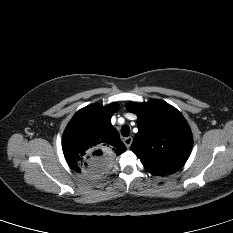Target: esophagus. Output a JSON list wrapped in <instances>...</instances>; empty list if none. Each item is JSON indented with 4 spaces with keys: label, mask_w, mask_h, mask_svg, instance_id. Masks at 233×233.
<instances>
[{
    "label": "esophagus",
    "mask_w": 233,
    "mask_h": 233,
    "mask_svg": "<svg viewBox=\"0 0 233 233\" xmlns=\"http://www.w3.org/2000/svg\"><path fill=\"white\" fill-rule=\"evenodd\" d=\"M133 138L132 137H126L124 138L123 142L126 145L127 148H129L132 144Z\"/></svg>",
    "instance_id": "34e87169"
}]
</instances>
